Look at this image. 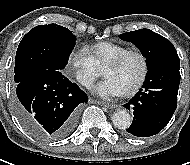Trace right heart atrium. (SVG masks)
I'll use <instances>...</instances> for the list:
<instances>
[{
    "instance_id": "right-heart-atrium-1",
    "label": "right heart atrium",
    "mask_w": 190,
    "mask_h": 165,
    "mask_svg": "<svg viewBox=\"0 0 190 165\" xmlns=\"http://www.w3.org/2000/svg\"><path fill=\"white\" fill-rule=\"evenodd\" d=\"M68 66L79 84L84 87H90L100 75V68L87 48L84 47L71 52Z\"/></svg>"
}]
</instances>
